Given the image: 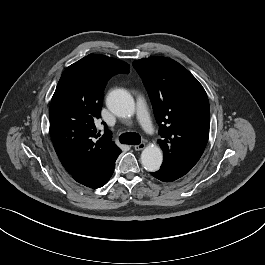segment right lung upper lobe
Here are the masks:
<instances>
[{
  "label": "right lung upper lobe",
  "instance_id": "1",
  "mask_svg": "<svg viewBox=\"0 0 265 265\" xmlns=\"http://www.w3.org/2000/svg\"><path fill=\"white\" fill-rule=\"evenodd\" d=\"M128 72L127 63L99 54H89L63 72L49 109L50 135L62 165L72 176L90 171L119 151L107 128L95 141L94 122L101 117L107 81Z\"/></svg>",
  "mask_w": 265,
  "mask_h": 265
}]
</instances>
